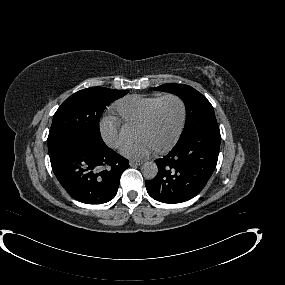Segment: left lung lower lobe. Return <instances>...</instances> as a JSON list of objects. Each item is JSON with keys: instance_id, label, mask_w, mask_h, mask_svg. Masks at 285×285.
<instances>
[{"instance_id": "left-lung-lower-lobe-1", "label": "left lung lower lobe", "mask_w": 285, "mask_h": 285, "mask_svg": "<svg viewBox=\"0 0 285 285\" xmlns=\"http://www.w3.org/2000/svg\"><path fill=\"white\" fill-rule=\"evenodd\" d=\"M220 140L217 123L202 126L179 140L168 155L155 160L158 173L145 181L148 194L163 203H181L195 197L216 167Z\"/></svg>"}]
</instances>
